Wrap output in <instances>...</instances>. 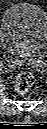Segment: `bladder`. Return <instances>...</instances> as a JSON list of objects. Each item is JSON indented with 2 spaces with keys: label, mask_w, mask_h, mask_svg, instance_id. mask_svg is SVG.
<instances>
[{
  "label": "bladder",
  "mask_w": 47,
  "mask_h": 129,
  "mask_svg": "<svg viewBox=\"0 0 47 129\" xmlns=\"http://www.w3.org/2000/svg\"><path fill=\"white\" fill-rule=\"evenodd\" d=\"M47 15L33 2H16L7 7L0 25V38L4 48L20 56H31L45 43Z\"/></svg>",
  "instance_id": "obj_1"
}]
</instances>
